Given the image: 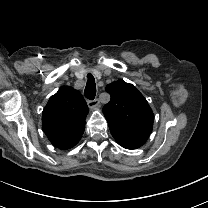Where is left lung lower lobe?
Segmentation results:
<instances>
[{
	"mask_svg": "<svg viewBox=\"0 0 208 208\" xmlns=\"http://www.w3.org/2000/svg\"><path fill=\"white\" fill-rule=\"evenodd\" d=\"M109 129L116 142L126 149L141 147L149 137V134L145 131L134 132L114 126H109Z\"/></svg>",
	"mask_w": 208,
	"mask_h": 208,
	"instance_id": "0a47b994",
	"label": "left lung lower lobe"
}]
</instances>
